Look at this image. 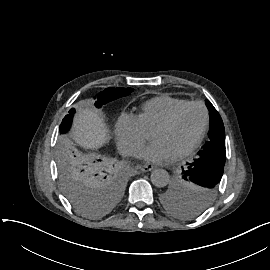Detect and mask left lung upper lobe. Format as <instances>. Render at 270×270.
I'll return each instance as SVG.
<instances>
[{
    "label": "left lung upper lobe",
    "instance_id": "obj_1",
    "mask_svg": "<svg viewBox=\"0 0 270 270\" xmlns=\"http://www.w3.org/2000/svg\"><path fill=\"white\" fill-rule=\"evenodd\" d=\"M210 115L209 141L188 168L182 167L181 178L163 191L161 201L172 214L192 218L203 211L213 201L220 185L226 159L225 129L223 121L206 100Z\"/></svg>",
    "mask_w": 270,
    "mask_h": 270
}]
</instances>
